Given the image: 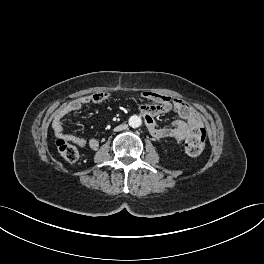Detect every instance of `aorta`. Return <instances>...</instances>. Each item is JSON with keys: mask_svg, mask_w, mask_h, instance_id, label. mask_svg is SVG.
<instances>
[{"mask_svg": "<svg viewBox=\"0 0 264 264\" xmlns=\"http://www.w3.org/2000/svg\"><path fill=\"white\" fill-rule=\"evenodd\" d=\"M129 125L132 127V128H137L139 127L141 124H142V120L139 116L137 115H132L130 118H129Z\"/></svg>", "mask_w": 264, "mask_h": 264, "instance_id": "1", "label": "aorta"}]
</instances>
